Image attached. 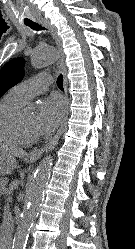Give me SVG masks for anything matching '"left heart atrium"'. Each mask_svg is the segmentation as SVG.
<instances>
[{
  "mask_svg": "<svg viewBox=\"0 0 135 249\" xmlns=\"http://www.w3.org/2000/svg\"><path fill=\"white\" fill-rule=\"evenodd\" d=\"M65 112V103L58 95H52L44 99L35 117V129L37 134H49L60 123Z\"/></svg>",
  "mask_w": 135,
  "mask_h": 249,
  "instance_id": "1",
  "label": "left heart atrium"
}]
</instances>
